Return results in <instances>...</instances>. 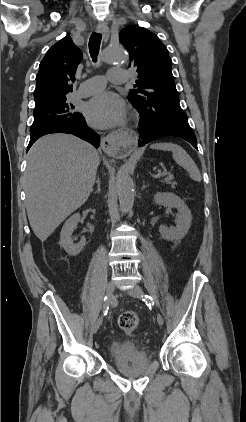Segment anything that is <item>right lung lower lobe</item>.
Masks as SVG:
<instances>
[{"label":"right lung lower lobe","instance_id":"obj_1","mask_svg":"<svg viewBox=\"0 0 246 422\" xmlns=\"http://www.w3.org/2000/svg\"><path fill=\"white\" fill-rule=\"evenodd\" d=\"M50 133H68L73 134L83 140L92 143L95 147L100 145V137L97 133L89 129L86 124L84 117L70 122V123H57L49 125L37 131L31 132L30 142L28 144L27 151L33 145V143L40 137Z\"/></svg>","mask_w":246,"mask_h":422}]
</instances>
